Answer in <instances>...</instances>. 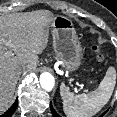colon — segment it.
I'll return each instance as SVG.
<instances>
[{
	"mask_svg": "<svg viewBox=\"0 0 117 117\" xmlns=\"http://www.w3.org/2000/svg\"><path fill=\"white\" fill-rule=\"evenodd\" d=\"M93 51L95 53L96 59L102 62L104 57H103V54L101 53L100 48L98 46H93Z\"/></svg>",
	"mask_w": 117,
	"mask_h": 117,
	"instance_id": "5ec220e1",
	"label": "colon"
}]
</instances>
